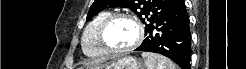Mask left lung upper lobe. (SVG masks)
I'll use <instances>...</instances> for the list:
<instances>
[{
	"label": "left lung upper lobe",
	"instance_id": "1",
	"mask_svg": "<svg viewBox=\"0 0 246 69\" xmlns=\"http://www.w3.org/2000/svg\"><path fill=\"white\" fill-rule=\"evenodd\" d=\"M176 0H95L88 12L86 21L100 11L110 7L131 9L145 24V29L153 25Z\"/></svg>",
	"mask_w": 246,
	"mask_h": 69
}]
</instances>
